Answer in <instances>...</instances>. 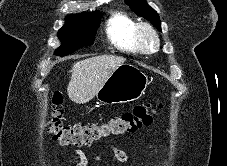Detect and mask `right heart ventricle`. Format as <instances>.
I'll list each match as a JSON object with an SVG mask.
<instances>
[{"label": "right heart ventricle", "instance_id": "e07e8e85", "mask_svg": "<svg viewBox=\"0 0 227 166\" xmlns=\"http://www.w3.org/2000/svg\"><path fill=\"white\" fill-rule=\"evenodd\" d=\"M137 22L123 12L114 13L107 21L106 34L109 42L119 51L138 54L140 49L134 40Z\"/></svg>", "mask_w": 227, "mask_h": 166}]
</instances>
